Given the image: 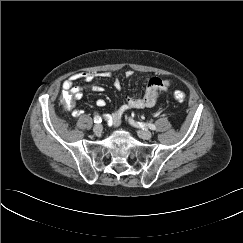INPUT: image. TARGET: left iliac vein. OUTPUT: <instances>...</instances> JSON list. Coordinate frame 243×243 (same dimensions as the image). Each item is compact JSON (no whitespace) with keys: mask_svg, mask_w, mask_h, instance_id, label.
<instances>
[{"mask_svg":"<svg viewBox=\"0 0 243 243\" xmlns=\"http://www.w3.org/2000/svg\"><path fill=\"white\" fill-rule=\"evenodd\" d=\"M138 136L144 140H149L152 137V133L148 130H139Z\"/></svg>","mask_w":243,"mask_h":243,"instance_id":"left-iliac-vein-1","label":"left iliac vein"}]
</instances>
